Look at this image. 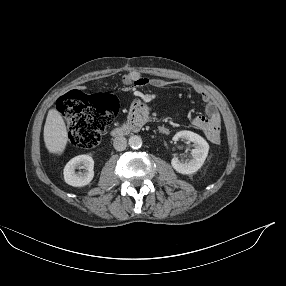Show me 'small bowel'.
<instances>
[{
	"label": "small bowel",
	"mask_w": 286,
	"mask_h": 286,
	"mask_svg": "<svg viewBox=\"0 0 286 286\" xmlns=\"http://www.w3.org/2000/svg\"><path fill=\"white\" fill-rule=\"evenodd\" d=\"M164 85H165V81L161 79L145 78L135 71H131L127 73L125 76V89L126 90H135L137 88L147 87V86L160 88V87H163ZM195 91L201 97L203 102L206 104V115L197 116L193 118L191 121L192 126L195 129L199 130L200 132L202 131V128L206 124H209V123H214V124H217L219 127H221V116L211 95L205 89L201 87H196ZM134 105L139 106L140 108H145L146 101L135 99ZM159 131L163 134H169L171 132V129L166 125H160ZM219 142L220 140L217 143Z\"/></svg>",
	"instance_id": "1"
}]
</instances>
